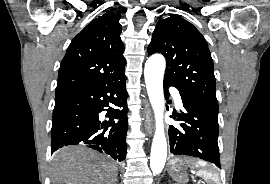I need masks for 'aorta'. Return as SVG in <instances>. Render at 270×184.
<instances>
[{"label": "aorta", "instance_id": "762f6f07", "mask_svg": "<svg viewBox=\"0 0 270 184\" xmlns=\"http://www.w3.org/2000/svg\"><path fill=\"white\" fill-rule=\"evenodd\" d=\"M165 66V58L161 54H154L148 58L144 69L146 89L156 121L150 155V168L154 174L162 172L167 157V142L163 123L165 109L163 77Z\"/></svg>", "mask_w": 270, "mask_h": 184}]
</instances>
